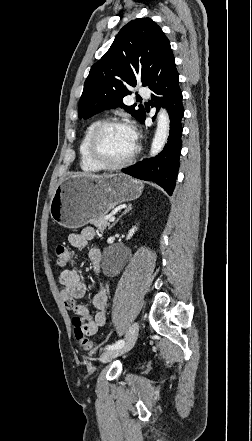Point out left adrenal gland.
I'll return each mask as SVG.
<instances>
[{"mask_svg":"<svg viewBox=\"0 0 252 441\" xmlns=\"http://www.w3.org/2000/svg\"><path fill=\"white\" fill-rule=\"evenodd\" d=\"M130 210H132V205L129 204L128 207L124 210V212L117 218V220L109 227V229H111L113 226H115V224H117V222L120 220V218L122 216H124L125 214H127Z\"/></svg>","mask_w":252,"mask_h":441,"instance_id":"a2214340","label":"left adrenal gland"}]
</instances>
